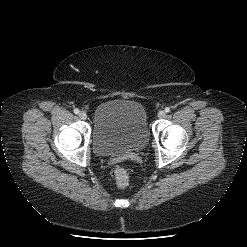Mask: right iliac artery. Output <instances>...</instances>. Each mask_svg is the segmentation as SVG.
<instances>
[{
	"label": "right iliac artery",
	"instance_id": "82829eb1",
	"mask_svg": "<svg viewBox=\"0 0 247 247\" xmlns=\"http://www.w3.org/2000/svg\"><path fill=\"white\" fill-rule=\"evenodd\" d=\"M74 113H75V114H79V109L75 108V109H74Z\"/></svg>",
	"mask_w": 247,
	"mask_h": 247
}]
</instances>
